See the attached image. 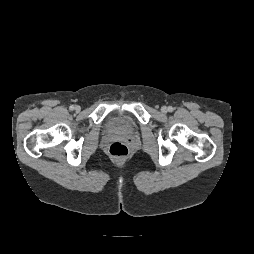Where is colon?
<instances>
[{
	"label": "colon",
	"mask_w": 254,
	"mask_h": 254,
	"mask_svg": "<svg viewBox=\"0 0 254 254\" xmlns=\"http://www.w3.org/2000/svg\"><path fill=\"white\" fill-rule=\"evenodd\" d=\"M109 155L115 160H124L128 154V147L121 142H114L108 148Z\"/></svg>",
	"instance_id": "1"
}]
</instances>
